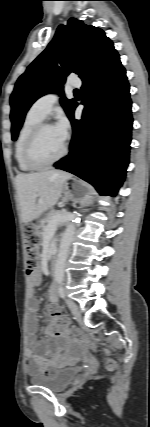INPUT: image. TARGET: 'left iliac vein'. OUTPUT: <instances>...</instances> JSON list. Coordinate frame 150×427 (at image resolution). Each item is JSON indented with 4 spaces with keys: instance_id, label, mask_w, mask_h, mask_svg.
<instances>
[{
    "instance_id": "1",
    "label": "left iliac vein",
    "mask_w": 150,
    "mask_h": 427,
    "mask_svg": "<svg viewBox=\"0 0 150 427\" xmlns=\"http://www.w3.org/2000/svg\"><path fill=\"white\" fill-rule=\"evenodd\" d=\"M66 303L69 306V308H70L72 314L74 315V317L76 318V320L78 322H81L82 321V317H81V313H80V311L78 309L77 304L74 301L70 300V299H67Z\"/></svg>"
}]
</instances>
